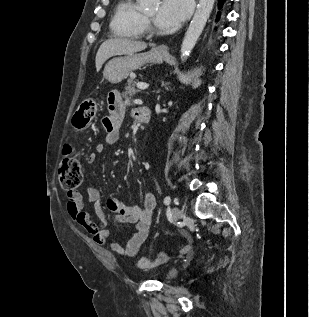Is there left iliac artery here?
Listing matches in <instances>:
<instances>
[{"instance_id": "obj_1", "label": "left iliac artery", "mask_w": 309, "mask_h": 317, "mask_svg": "<svg viewBox=\"0 0 309 317\" xmlns=\"http://www.w3.org/2000/svg\"><path fill=\"white\" fill-rule=\"evenodd\" d=\"M170 202H171L170 196H166V197L164 198V204H165V205H168V204H170Z\"/></svg>"}]
</instances>
